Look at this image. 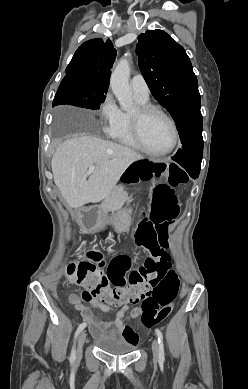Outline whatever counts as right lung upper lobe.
Instances as JSON below:
<instances>
[{"label": "right lung upper lobe", "mask_w": 248, "mask_h": 389, "mask_svg": "<svg viewBox=\"0 0 248 389\" xmlns=\"http://www.w3.org/2000/svg\"><path fill=\"white\" fill-rule=\"evenodd\" d=\"M115 57L116 50L109 39H91L77 49L65 72L82 73L88 83L108 88Z\"/></svg>", "instance_id": "1"}]
</instances>
